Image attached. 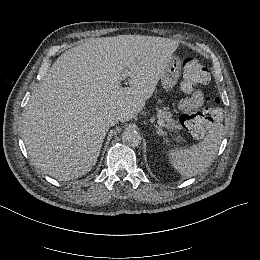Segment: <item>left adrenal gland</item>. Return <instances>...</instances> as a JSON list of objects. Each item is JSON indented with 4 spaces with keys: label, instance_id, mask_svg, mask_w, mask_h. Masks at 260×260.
<instances>
[{
    "label": "left adrenal gland",
    "instance_id": "left-adrenal-gland-1",
    "mask_svg": "<svg viewBox=\"0 0 260 260\" xmlns=\"http://www.w3.org/2000/svg\"><path fill=\"white\" fill-rule=\"evenodd\" d=\"M155 128L157 129V134H159V135H163V130H162V128L160 127V126H158V125H155Z\"/></svg>",
    "mask_w": 260,
    "mask_h": 260
}]
</instances>
